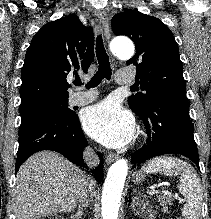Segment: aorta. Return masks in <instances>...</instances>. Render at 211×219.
<instances>
[{
	"instance_id": "aorta-1",
	"label": "aorta",
	"mask_w": 211,
	"mask_h": 219,
	"mask_svg": "<svg viewBox=\"0 0 211 219\" xmlns=\"http://www.w3.org/2000/svg\"><path fill=\"white\" fill-rule=\"evenodd\" d=\"M113 53L123 60L130 59L134 54L133 43L126 39L114 42ZM128 173L126 159L117 160L109 168L102 191V219H118L121 194Z\"/></svg>"
}]
</instances>
